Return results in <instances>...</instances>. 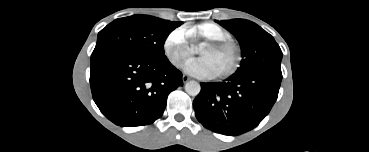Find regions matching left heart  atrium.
I'll use <instances>...</instances> for the list:
<instances>
[{"label":"left heart atrium","instance_id":"left-heart-atrium-1","mask_svg":"<svg viewBox=\"0 0 369 152\" xmlns=\"http://www.w3.org/2000/svg\"><path fill=\"white\" fill-rule=\"evenodd\" d=\"M184 70L186 73L200 78H212L214 76L209 63L203 59L189 61Z\"/></svg>","mask_w":369,"mask_h":152}]
</instances>
